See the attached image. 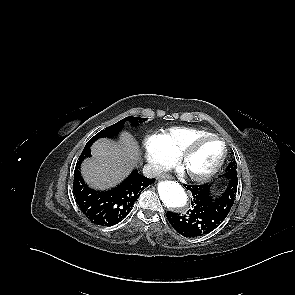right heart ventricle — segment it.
<instances>
[{
    "instance_id": "e07e8e85",
    "label": "right heart ventricle",
    "mask_w": 295,
    "mask_h": 295,
    "mask_svg": "<svg viewBox=\"0 0 295 295\" xmlns=\"http://www.w3.org/2000/svg\"><path fill=\"white\" fill-rule=\"evenodd\" d=\"M210 134L191 127H172L158 134L164 148L174 157H178L185 146L193 139Z\"/></svg>"
}]
</instances>
